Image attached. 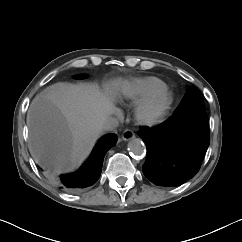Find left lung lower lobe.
<instances>
[{"instance_id": "obj_1", "label": "left lung lower lobe", "mask_w": 242, "mask_h": 242, "mask_svg": "<svg viewBox=\"0 0 242 242\" xmlns=\"http://www.w3.org/2000/svg\"><path fill=\"white\" fill-rule=\"evenodd\" d=\"M138 135L147 147L144 175L156 185L174 187L198 172L209 146V120L207 115L177 123L169 118L153 128L141 127Z\"/></svg>"}]
</instances>
